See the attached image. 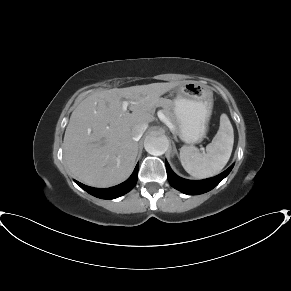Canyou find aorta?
Segmentation results:
<instances>
[{"label": "aorta", "mask_w": 291, "mask_h": 291, "mask_svg": "<svg viewBox=\"0 0 291 291\" xmlns=\"http://www.w3.org/2000/svg\"><path fill=\"white\" fill-rule=\"evenodd\" d=\"M145 150L152 155H162L164 154L168 147L169 141L165 135H158L152 133L148 135L144 141Z\"/></svg>", "instance_id": "762f6f07"}]
</instances>
